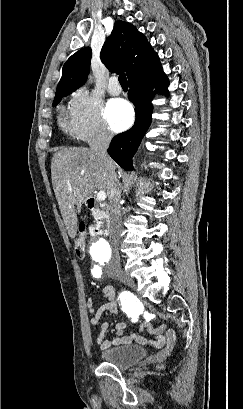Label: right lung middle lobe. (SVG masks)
<instances>
[{
	"label": "right lung middle lobe",
	"instance_id": "1",
	"mask_svg": "<svg viewBox=\"0 0 243 409\" xmlns=\"http://www.w3.org/2000/svg\"><path fill=\"white\" fill-rule=\"evenodd\" d=\"M66 95H67V94L60 95V96L56 97V98L54 99L53 105H54V106L57 105V104L61 101L62 97H63V96H66Z\"/></svg>",
	"mask_w": 243,
	"mask_h": 409
}]
</instances>
